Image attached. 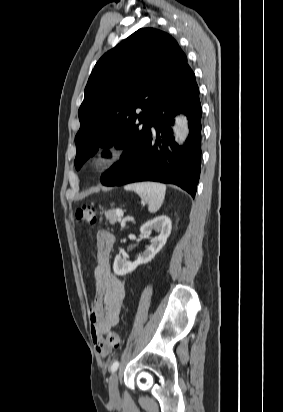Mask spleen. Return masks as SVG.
I'll return each mask as SVG.
<instances>
[{
    "label": "spleen",
    "mask_w": 283,
    "mask_h": 412,
    "mask_svg": "<svg viewBox=\"0 0 283 412\" xmlns=\"http://www.w3.org/2000/svg\"><path fill=\"white\" fill-rule=\"evenodd\" d=\"M124 188L136 192L142 200L146 201L150 213H156L160 209L166 193V186L155 182L133 183Z\"/></svg>",
    "instance_id": "spleen-1"
}]
</instances>
